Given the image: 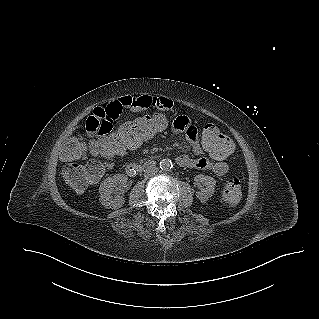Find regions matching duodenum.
Returning <instances> with one entry per match:
<instances>
[{"mask_svg": "<svg viewBox=\"0 0 319 319\" xmlns=\"http://www.w3.org/2000/svg\"><path fill=\"white\" fill-rule=\"evenodd\" d=\"M155 165V162L152 160L146 161L145 163H129L126 165V173L133 177L144 171L152 170Z\"/></svg>", "mask_w": 319, "mask_h": 319, "instance_id": "1", "label": "duodenum"}]
</instances>
